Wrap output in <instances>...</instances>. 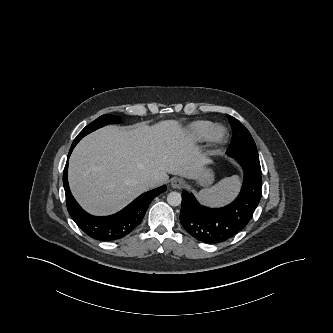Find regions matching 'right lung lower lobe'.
Instances as JSON below:
<instances>
[{
  "label": "right lung lower lobe",
  "mask_w": 333,
  "mask_h": 333,
  "mask_svg": "<svg viewBox=\"0 0 333 333\" xmlns=\"http://www.w3.org/2000/svg\"><path fill=\"white\" fill-rule=\"evenodd\" d=\"M76 144H72L68 158ZM67 172L68 159L63 172V185L68 212L83 232L100 241H114L129 234L141 223L154 197L166 191L165 185L153 189L140 195L120 212L110 216L97 217L85 212L72 196L69 189Z\"/></svg>",
  "instance_id": "right-lung-lower-lobe-1"
}]
</instances>
